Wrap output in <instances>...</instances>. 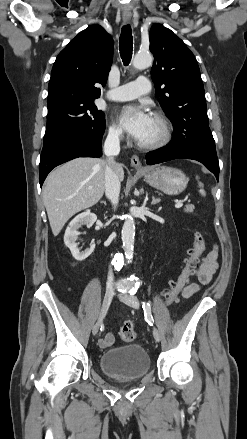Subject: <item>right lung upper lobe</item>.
Returning a JSON list of instances; mask_svg holds the SVG:
<instances>
[{
    "instance_id": "cb5924a9",
    "label": "right lung upper lobe",
    "mask_w": 247,
    "mask_h": 439,
    "mask_svg": "<svg viewBox=\"0 0 247 439\" xmlns=\"http://www.w3.org/2000/svg\"><path fill=\"white\" fill-rule=\"evenodd\" d=\"M113 60L112 37L100 25L81 31L59 53L48 85V108L67 100H94Z\"/></svg>"
}]
</instances>
